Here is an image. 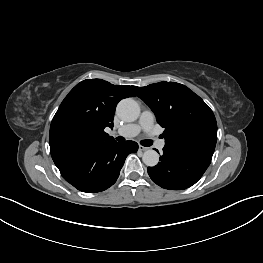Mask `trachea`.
Instances as JSON below:
<instances>
[{
    "instance_id": "obj_1",
    "label": "trachea",
    "mask_w": 263,
    "mask_h": 263,
    "mask_svg": "<svg viewBox=\"0 0 263 263\" xmlns=\"http://www.w3.org/2000/svg\"><path fill=\"white\" fill-rule=\"evenodd\" d=\"M117 140L123 142V141H125V138L119 136L117 138ZM140 143H141V145H143L145 147H149V146L152 145V141L151 140H142Z\"/></svg>"
}]
</instances>
